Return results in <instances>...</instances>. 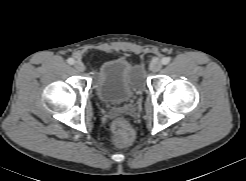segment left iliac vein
<instances>
[{
  "label": "left iliac vein",
  "instance_id": "4c4485c4",
  "mask_svg": "<svg viewBox=\"0 0 246 181\" xmlns=\"http://www.w3.org/2000/svg\"><path fill=\"white\" fill-rule=\"evenodd\" d=\"M162 68V63L158 60L151 62L150 70L152 72H158Z\"/></svg>",
  "mask_w": 246,
  "mask_h": 181
}]
</instances>
